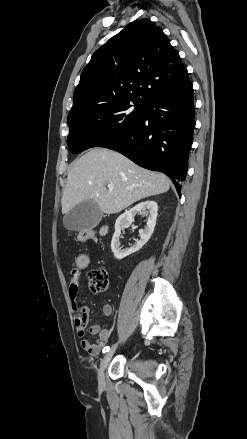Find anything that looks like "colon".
Returning <instances> with one entry per match:
<instances>
[{
  "label": "colon",
  "mask_w": 247,
  "mask_h": 439,
  "mask_svg": "<svg viewBox=\"0 0 247 439\" xmlns=\"http://www.w3.org/2000/svg\"><path fill=\"white\" fill-rule=\"evenodd\" d=\"M95 239V233L93 230H81L77 234V240L79 242H87ZM90 263V257L87 253L79 254L75 260V268L84 270ZM89 287L93 292H102L108 287V275L104 268L98 267L88 272Z\"/></svg>",
  "instance_id": "obj_1"
}]
</instances>
